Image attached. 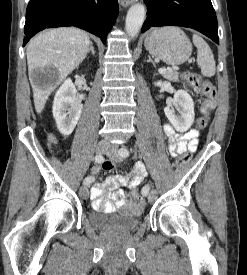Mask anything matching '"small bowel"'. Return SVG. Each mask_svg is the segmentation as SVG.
<instances>
[{
  "label": "small bowel",
  "instance_id": "small-bowel-1",
  "mask_svg": "<svg viewBox=\"0 0 247 275\" xmlns=\"http://www.w3.org/2000/svg\"><path fill=\"white\" fill-rule=\"evenodd\" d=\"M163 131L168 140V149L172 157H176L185 151L195 152L198 145L199 133L195 129H191L183 134H178L174 128L165 124ZM100 171L99 167L92 169L93 174ZM146 169L142 164H137L132 172V176L128 177L121 174L110 175L101 183H96L91 189L92 206L97 211H114L120 209L126 213H138L142 208V202L129 199L123 190V187L130 189L137 188L144 177ZM106 194L109 200L103 198Z\"/></svg>",
  "mask_w": 247,
  "mask_h": 275
}]
</instances>
